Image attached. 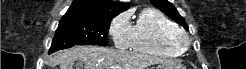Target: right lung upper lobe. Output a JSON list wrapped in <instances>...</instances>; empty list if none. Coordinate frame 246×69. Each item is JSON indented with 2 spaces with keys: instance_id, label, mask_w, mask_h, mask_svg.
<instances>
[{
  "instance_id": "1",
  "label": "right lung upper lobe",
  "mask_w": 246,
  "mask_h": 69,
  "mask_svg": "<svg viewBox=\"0 0 246 69\" xmlns=\"http://www.w3.org/2000/svg\"><path fill=\"white\" fill-rule=\"evenodd\" d=\"M128 8L127 3H116L112 0H74L61 20H112Z\"/></svg>"
}]
</instances>
